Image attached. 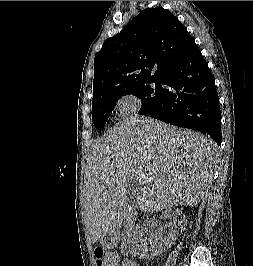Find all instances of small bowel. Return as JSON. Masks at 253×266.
<instances>
[{
	"label": "small bowel",
	"instance_id": "c3829d8e",
	"mask_svg": "<svg viewBox=\"0 0 253 266\" xmlns=\"http://www.w3.org/2000/svg\"><path fill=\"white\" fill-rule=\"evenodd\" d=\"M119 266V264H118ZM121 266H136V264L131 260H126L121 263Z\"/></svg>",
	"mask_w": 253,
	"mask_h": 266
}]
</instances>
